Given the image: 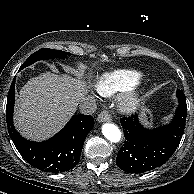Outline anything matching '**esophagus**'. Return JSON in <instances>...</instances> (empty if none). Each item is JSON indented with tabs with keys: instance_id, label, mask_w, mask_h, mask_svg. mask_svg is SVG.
<instances>
[{
	"instance_id": "1",
	"label": "esophagus",
	"mask_w": 194,
	"mask_h": 194,
	"mask_svg": "<svg viewBox=\"0 0 194 194\" xmlns=\"http://www.w3.org/2000/svg\"><path fill=\"white\" fill-rule=\"evenodd\" d=\"M98 122H108L111 121V115L109 114L108 111H102L98 117H97Z\"/></svg>"
}]
</instances>
